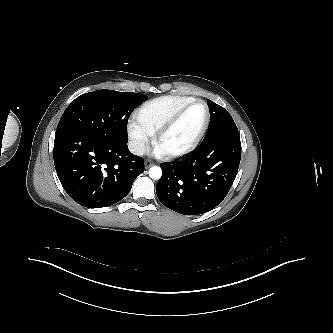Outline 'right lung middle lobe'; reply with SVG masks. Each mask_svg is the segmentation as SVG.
<instances>
[{
  "label": "right lung middle lobe",
  "instance_id": "right-lung-middle-lobe-1",
  "mask_svg": "<svg viewBox=\"0 0 333 333\" xmlns=\"http://www.w3.org/2000/svg\"><path fill=\"white\" fill-rule=\"evenodd\" d=\"M146 99L142 94L113 90L80 95L64 111L56 132L71 131L101 140L128 142V118Z\"/></svg>",
  "mask_w": 333,
  "mask_h": 333
}]
</instances>
